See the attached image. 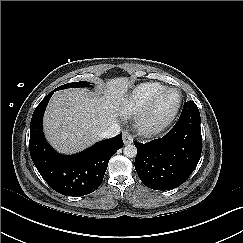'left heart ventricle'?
I'll return each mask as SVG.
<instances>
[{
    "label": "left heart ventricle",
    "mask_w": 243,
    "mask_h": 243,
    "mask_svg": "<svg viewBox=\"0 0 243 243\" xmlns=\"http://www.w3.org/2000/svg\"><path fill=\"white\" fill-rule=\"evenodd\" d=\"M177 102H178L177 92L170 91V92L166 93L162 97V99L158 105V109H157L158 114L165 115V114L169 113L170 111H172L174 109Z\"/></svg>",
    "instance_id": "1"
}]
</instances>
